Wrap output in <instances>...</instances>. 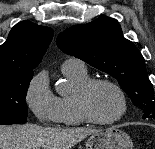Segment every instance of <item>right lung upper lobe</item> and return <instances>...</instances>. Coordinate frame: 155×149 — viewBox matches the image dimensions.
Masks as SVG:
<instances>
[{
	"label": "right lung upper lobe",
	"instance_id": "right-lung-upper-lobe-1",
	"mask_svg": "<svg viewBox=\"0 0 155 149\" xmlns=\"http://www.w3.org/2000/svg\"><path fill=\"white\" fill-rule=\"evenodd\" d=\"M49 27L30 21L16 24L0 46V77L33 73L53 37Z\"/></svg>",
	"mask_w": 155,
	"mask_h": 149
}]
</instances>
